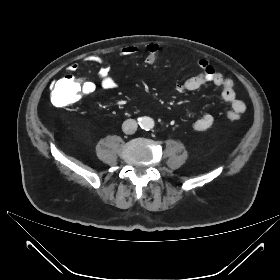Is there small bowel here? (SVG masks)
Listing matches in <instances>:
<instances>
[{
    "instance_id": "obj_1",
    "label": "small bowel",
    "mask_w": 280,
    "mask_h": 280,
    "mask_svg": "<svg viewBox=\"0 0 280 280\" xmlns=\"http://www.w3.org/2000/svg\"><path fill=\"white\" fill-rule=\"evenodd\" d=\"M139 47L135 45H127L121 48L118 52L119 55L125 57L135 56L139 53ZM146 58L145 62L147 64H153L157 60L158 56V46L155 44H149L146 46ZM88 62L102 64L97 72V81L99 85L106 89H111L116 87L117 82L115 78L111 75L110 68L105 64V59L100 55H92L88 57ZM201 68V73L185 80L182 83L177 84L176 90L179 93L186 91H195L206 84H214L221 87V97L230 106L231 110L227 113V117L233 114L240 116L246 110V103L236 98L234 92V82L231 78L224 76L220 72H217L214 67L205 59H201L198 62ZM79 66L76 63H72L68 66L70 72H76ZM96 83L91 80H84L81 83V95H91L96 90ZM232 120V119H230ZM214 123V118L210 114H205L199 119H197L193 124V129L198 132L205 131L209 129Z\"/></svg>"
}]
</instances>
